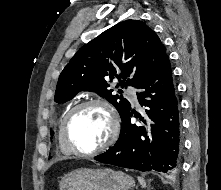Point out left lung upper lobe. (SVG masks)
Returning a JSON list of instances; mask_svg holds the SVG:
<instances>
[{
  "label": "left lung upper lobe",
  "instance_id": "1",
  "mask_svg": "<svg viewBox=\"0 0 221 190\" xmlns=\"http://www.w3.org/2000/svg\"><path fill=\"white\" fill-rule=\"evenodd\" d=\"M166 55L161 40L144 22H120L76 52L60 74L54 101L66 102L80 91L96 92L122 118L131 105L122 96L112 95L109 82L118 79L122 88H137Z\"/></svg>",
  "mask_w": 221,
  "mask_h": 190
}]
</instances>
